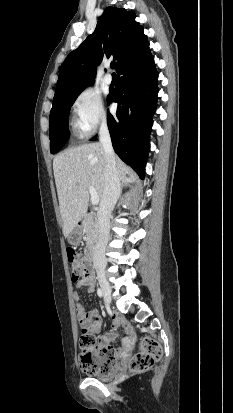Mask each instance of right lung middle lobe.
<instances>
[{
  "label": "right lung middle lobe",
  "instance_id": "1",
  "mask_svg": "<svg viewBox=\"0 0 233 413\" xmlns=\"http://www.w3.org/2000/svg\"><path fill=\"white\" fill-rule=\"evenodd\" d=\"M80 94V93H79ZM79 94L64 98L52 105L49 119L50 151H59L69 138L68 113Z\"/></svg>",
  "mask_w": 233,
  "mask_h": 413
}]
</instances>
